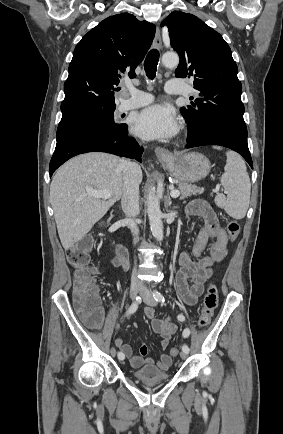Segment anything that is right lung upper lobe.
Masks as SVG:
<instances>
[{"label": "right lung upper lobe", "instance_id": "cb5924a9", "mask_svg": "<svg viewBox=\"0 0 283 434\" xmlns=\"http://www.w3.org/2000/svg\"><path fill=\"white\" fill-rule=\"evenodd\" d=\"M155 25L134 15L110 16L77 44L64 83L62 118L115 109L121 74L134 78L155 35Z\"/></svg>", "mask_w": 283, "mask_h": 434}]
</instances>
